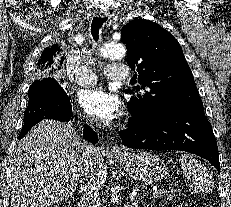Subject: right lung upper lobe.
Instances as JSON below:
<instances>
[{
	"label": "right lung upper lobe",
	"mask_w": 231,
	"mask_h": 207,
	"mask_svg": "<svg viewBox=\"0 0 231 207\" xmlns=\"http://www.w3.org/2000/svg\"><path fill=\"white\" fill-rule=\"evenodd\" d=\"M62 47L58 44L52 45L44 50L38 61V70L40 73L44 72L45 69L51 67L52 64L62 62L64 57H59L58 54L61 52Z\"/></svg>",
	"instance_id": "right-lung-upper-lobe-1"
}]
</instances>
